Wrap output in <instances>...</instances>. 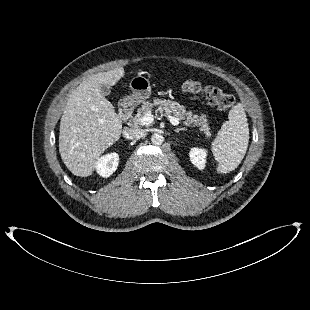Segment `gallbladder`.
Returning a JSON list of instances; mask_svg holds the SVG:
<instances>
[{"label": "gallbladder", "instance_id": "obj_1", "mask_svg": "<svg viewBox=\"0 0 310 310\" xmlns=\"http://www.w3.org/2000/svg\"><path fill=\"white\" fill-rule=\"evenodd\" d=\"M100 90L104 96H108L111 93V88L107 85H101Z\"/></svg>", "mask_w": 310, "mask_h": 310}]
</instances>
